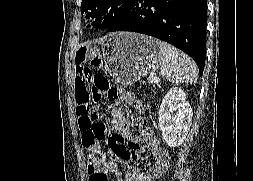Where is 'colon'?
Returning <instances> with one entry per match:
<instances>
[{
    "label": "colon",
    "mask_w": 253,
    "mask_h": 181,
    "mask_svg": "<svg viewBox=\"0 0 253 181\" xmlns=\"http://www.w3.org/2000/svg\"><path fill=\"white\" fill-rule=\"evenodd\" d=\"M101 47H96L93 41L84 44L77 53V61L89 71L87 91L81 100L79 126L82 133V142L89 151V160L100 163L104 160V152L100 142L105 136V125L99 120L92 106L102 100L115 101L119 97L118 89L113 86L108 78L100 73H93L91 67L98 63Z\"/></svg>",
    "instance_id": "5ec220e1"
}]
</instances>
